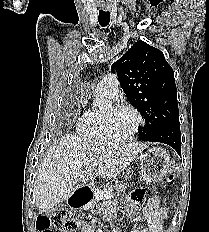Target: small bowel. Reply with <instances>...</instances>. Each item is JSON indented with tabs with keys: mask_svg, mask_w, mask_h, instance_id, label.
Instances as JSON below:
<instances>
[{
	"mask_svg": "<svg viewBox=\"0 0 209 232\" xmlns=\"http://www.w3.org/2000/svg\"><path fill=\"white\" fill-rule=\"evenodd\" d=\"M129 199H131L133 205H144L145 199H147L146 185H133V190H129ZM133 205H130L126 209L127 214L133 212ZM107 215L109 217L114 216V209L109 208ZM142 217L147 221V227L132 232H162V224L167 217V210L160 205L159 197L157 195H153L144 206ZM81 231L93 232V229L88 223H82Z\"/></svg>",
	"mask_w": 209,
	"mask_h": 232,
	"instance_id": "c3829d8e",
	"label": "small bowel"
}]
</instances>
